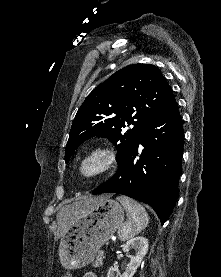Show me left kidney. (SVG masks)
<instances>
[{
  "mask_svg": "<svg viewBox=\"0 0 221 277\" xmlns=\"http://www.w3.org/2000/svg\"><path fill=\"white\" fill-rule=\"evenodd\" d=\"M148 246V240L143 236H138L128 240L123 246V251L129 253L131 249H134L135 254L130 257V263L128 264L127 270L120 275L116 268L110 267L107 277H133L148 251Z\"/></svg>",
  "mask_w": 221,
  "mask_h": 277,
  "instance_id": "5707ae66",
  "label": "left kidney"
}]
</instances>
